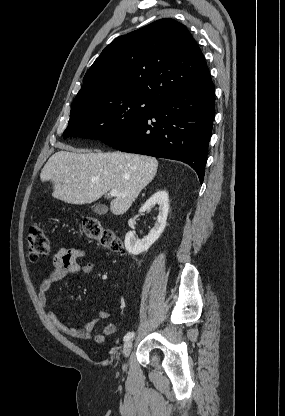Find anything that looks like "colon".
Returning a JSON list of instances; mask_svg holds the SVG:
<instances>
[{"instance_id": "5ec220e1", "label": "colon", "mask_w": 285, "mask_h": 416, "mask_svg": "<svg viewBox=\"0 0 285 416\" xmlns=\"http://www.w3.org/2000/svg\"><path fill=\"white\" fill-rule=\"evenodd\" d=\"M81 228L87 239L111 251H119L121 242L113 230L104 228L100 221L93 217L84 218ZM27 249L30 261L36 262L39 258L46 256L50 250L49 239L39 226L30 227L27 233Z\"/></svg>"}]
</instances>
